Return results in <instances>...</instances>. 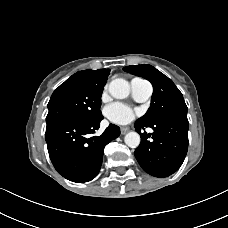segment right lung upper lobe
Here are the masks:
<instances>
[{
  "instance_id": "right-lung-upper-lobe-1",
  "label": "right lung upper lobe",
  "mask_w": 228,
  "mask_h": 228,
  "mask_svg": "<svg viewBox=\"0 0 228 228\" xmlns=\"http://www.w3.org/2000/svg\"><path fill=\"white\" fill-rule=\"evenodd\" d=\"M109 69H99V70H83L73 74L70 79L77 80L86 85H100L106 84Z\"/></svg>"
}]
</instances>
